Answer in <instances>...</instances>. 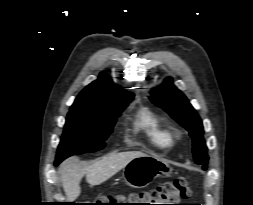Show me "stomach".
I'll use <instances>...</instances> for the list:
<instances>
[{
    "label": "stomach",
    "instance_id": "stomach-1",
    "mask_svg": "<svg viewBox=\"0 0 253 205\" xmlns=\"http://www.w3.org/2000/svg\"><path fill=\"white\" fill-rule=\"evenodd\" d=\"M172 168L167 162L156 156L144 155L131 160L123 169V181L134 188H144L152 179L167 175Z\"/></svg>",
    "mask_w": 253,
    "mask_h": 205
}]
</instances>
